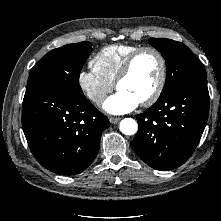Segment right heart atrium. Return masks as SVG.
Segmentation results:
<instances>
[{
	"mask_svg": "<svg viewBox=\"0 0 221 221\" xmlns=\"http://www.w3.org/2000/svg\"><path fill=\"white\" fill-rule=\"evenodd\" d=\"M77 82L86 98L95 105H100L114 88V83L102 77L93 68L81 70Z\"/></svg>",
	"mask_w": 221,
	"mask_h": 221,
	"instance_id": "d8ad5b80",
	"label": "right heart atrium"
}]
</instances>
